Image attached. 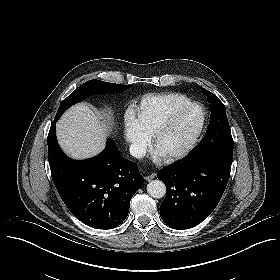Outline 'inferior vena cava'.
Masks as SVG:
<instances>
[{
    "instance_id": "602c4592",
    "label": "inferior vena cava",
    "mask_w": 280,
    "mask_h": 280,
    "mask_svg": "<svg viewBox=\"0 0 280 280\" xmlns=\"http://www.w3.org/2000/svg\"><path fill=\"white\" fill-rule=\"evenodd\" d=\"M129 152L134 158H141L145 155V149L136 143H133L129 146Z\"/></svg>"
}]
</instances>
